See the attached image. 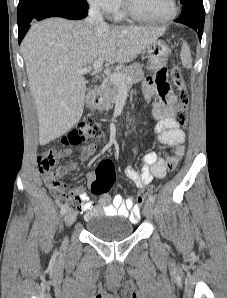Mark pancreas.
<instances>
[{"instance_id":"cf45deb5","label":"pancreas","mask_w":227,"mask_h":298,"mask_svg":"<svg viewBox=\"0 0 227 298\" xmlns=\"http://www.w3.org/2000/svg\"><path fill=\"white\" fill-rule=\"evenodd\" d=\"M117 72L124 74L126 78L130 77L131 81L127 84V87L132 86L135 83L140 82L143 79L144 72L140 63H133L127 67H123ZM120 91V86L110 80L105 79L100 88L101 103L98 107L99 111L109 110L115 103Z\"/></svg>"}]
</instances>
